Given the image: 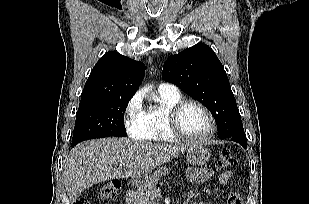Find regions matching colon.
<instances>
[{
  "label": "colon",
  "mask_w": 309,
  "mask_h": 204,
  "mask_svg": "<svg viewBox=\"0 0 309 204\" xmlns=\"http://www.w3.org/2000/svg\"><path fill=\"white\" fill-rule=\"evenodd\" d=\"M237 163L236 157L229 149H224L219 153L217 166L220 169H226L235 166ZM119 184L117 182H107L100 190V198L105 201L115 200L119 195ZM236 204H240L238 199H234ZM74 204H90L88 198H80Z\"/></svg>",
  "instance_id": "1"
}]
</instances>
